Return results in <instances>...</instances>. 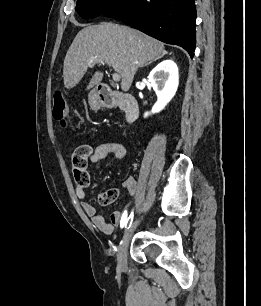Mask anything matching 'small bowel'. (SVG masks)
<instances>
[{"label":"small bowel","mask_w":261,"mask_h":306,"mask_svg":"<svg viewBox=\"0 0 261 306\" xmlns=\"http://www.w3.org/2000/svg\"><path fill=\"white\" fill-rule=\"evenodd\" d=\"M127 150L124 145L116 142H108L100 144L94 149L89 156L92 163H97L103 159L110 156L115 157L118 160H122L126 157ZM74 178H75V192L77 197L82 201V208L86 215L91 219L93 225L100 231L106 234H112L120 223L123 213L122 211H114L111 214L110 221H107L104 215L97 213L96 208L87 201L86 188L89 185V174L86 170V166L82 169L74 168ZM124 187L130 192L131 195H135L137 192V181L133 177H128L124 183ZM106 193V191L101 194L100 198Z\"/></svg>","instance_id":"small-bowel-1"}]
</instances>
